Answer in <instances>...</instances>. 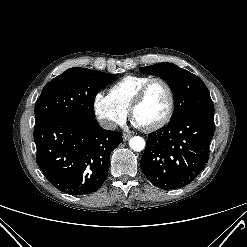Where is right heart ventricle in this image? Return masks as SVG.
Wrapping results in <instances>:
<instances>
[{
    "mask_svg": "<svg viewBox=\"0 0 247 247\" xmlns=\"http://www.w3.org/2000/svg\"><path fill=\"white\" fill-rule=\"evenodd\" d=\"M149 79L144 75H127L111 86L109 95L121 107L129 109L132 99Z\"/></svg>",
    "mask_w": 247,
    "mask_h": 247,
    "instance_id": "right-heart-ventricle-1",
    "label": "right heart ventricle"
}]
</instances>
